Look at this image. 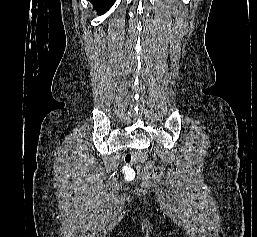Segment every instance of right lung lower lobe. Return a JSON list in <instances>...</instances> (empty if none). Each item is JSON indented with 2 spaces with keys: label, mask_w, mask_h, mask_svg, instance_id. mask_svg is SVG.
<instances>
[{
  "label": "right lung lower lobe",
  "mask_w": 257,
  "mask_h": 237,
  "mask_svg": "<svg viewBox=\"0 0 257 237\" xmlns=\"http://www.w3.org/2000/svg\"><path fill=\"white\" fill-rule=\"evenodd\" d=\"M95 9L99 10V14L106 12L115 2V0H89Z\"/></svg>",
  "instance_id": "right-lung-lower-lobe-1"
}]
</instances>
